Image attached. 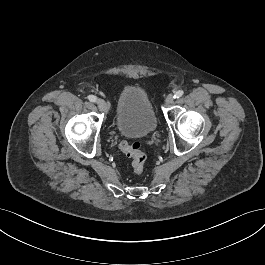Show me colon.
I'll list each match as a JSON object with an SVG mask.
<instances>
[{
    "label": "colon",
    "mask_w": 265,
    "mask_h": 265,
    "mask_svg": "<svg viewBox=\"0 0 265 265\" xmlns=\"http://www.w3.org/2000/svg\"><path fill=\"white\" fill-rule=\"evenodd\" d=\"M119 149L128 158H130L133 172L136 175H141L145 170L147 155L141 149L140 143H128L123 141L120 143Z\"/></svg>",
    "instance_id": "5ec220e1"
}]
</instances>
